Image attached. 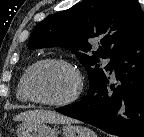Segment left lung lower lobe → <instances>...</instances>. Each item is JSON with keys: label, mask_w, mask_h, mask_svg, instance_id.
Listing matches in <instances>:
<instances>
[{"label": "left lung lower lobe", "mask_w": 144, "mask_h": 137, "mask_svg": "<svg viewBox=\"0 0 144 137\" xmlns=\"http://www.w3.org/2000/svg\"><path fill=\"white\" fill-rule=\"evenodd\" d=\"M107 76L79 102L56 111L120 137H144V25L138 36L109 64Z\"/></svg>", "instance_id": "0a47b994"}]
</instances>
